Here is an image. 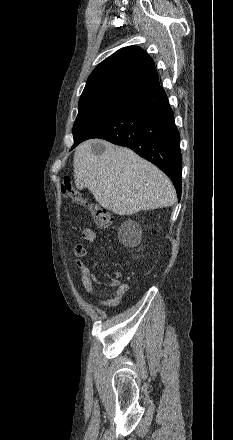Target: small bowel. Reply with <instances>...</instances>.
<instances>
[{"label":"small bowel","mask_w":233,"mask_h":440,"mask_svg":"<svg viewBox=\"0 0 233 440\" xmlns=\"http://www.w3.org/2000/svg\"><path fill=\"white\" fill-rule=\"evenodd\" d=\"M81 236L86 243H92L96 238L95 232L88 228L82 231ZM87 252H88L87 245L83 243H77L73 248L74 255L79 258L86 256ZM76 266L80 272V280L85 290L89 294L100 295L105 298L103 301L98 303V305L101 307H114L118 305L121 302L124 295H126L127 292L129 291V287L127 284H120L117 281H112L111 283V286L115 287L113 291L111 292L98 291L95 288V285L103 284V283L97 280L90 271V269L80 260H76Z\"/></svg>","instance_id":"1"}]
</instances>
